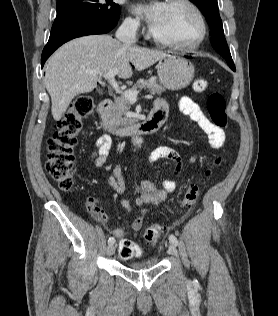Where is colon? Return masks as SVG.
Wrapping results in <instances>:
<instances>
[{"mask_svg":"<svg viewBox=\"0 0 278 316\" xmlns=\"http://www.w3.org/2000/svg\"><path fill=\"white\" fill-rule=\"evenodd\" d=\"M207 88V81L198 79L193 84L195 92H203ZM95 111L94 102L89 96L76 98L68 107L63 117L57 123V129L53 136L48 139V155L45 167L51 178L64 191H71L74 186V148L77 144V137L82 130V119L91 116ZM207 111L211 122L218 128L224 129L227 126L226 101L222 93L213 92L207 100ZM222 161L221 156L213 160L212 166L205 169L198 179L189 185L182 198V206L190 210L196 203L200 184L208 179L212 169ZM90 213H96L97 208L93 199L86 202ZM162 228L158 224L148 226L144 231V238L150 245H155L161 236ZM119 252L123 258H131L141 255L142 251L138 245L128 239H123L119 244Z\"/></svg>","mask_w":278,"mask_h":316,"instance_id":"obj_1","label":"colon"}]
</instances>
